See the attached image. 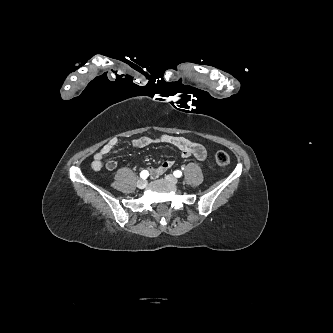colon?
Masks as SVG:
<instances>
[{"label":"colon","instance_id":"colon-1","mask_svg":"<svg viewBox=\"0 0 333 333\" xmlns=\"http://www.w3.org/2000/svg\"><path fill=\"white\" fill-rule=\"evenodd\" d=\"M215 161L220 167H227L230 163L229 155L224 151H218L215 156Z\"/></svg>","mask_w":333,"mask_h":333}]
</instances>
